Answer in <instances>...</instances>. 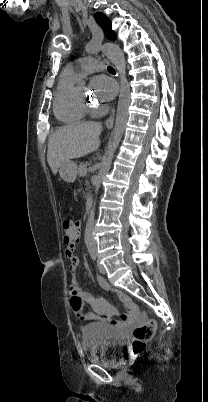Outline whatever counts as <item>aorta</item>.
I'll use <instances>...</instances> for the list:
<instances>
[{
	"instance_id": "aorta-1",
	"label": "aorta",
	"mask_w": 208,
	"mask_h": 402,
	"mask_svg": "<svg viewBox=\"0 0 208 402\" xmlns=\"http://www.w3.org/2000/svg\"><path fill=\"white\" fill-rule=\"evenodd\" d=\"M103 54H105L106 58L114 64L117 74H119L120 78V92H119V102L117 108V116L115 122V128L113 132V140L106 152V158L104 162V168L100 170L99 173L95 175L93 192L96 196H99L102 192V176L107 173V170L111 166L112 158L114 156L115 150H117L119 146V142L124 134V130L127 124L128 118V108L130 106V88L128 84V80L126 78V64L123 52H121V48L117 46V44H105L103 48ZM95 204H93V208L87 218L86 226H85V235L83 242L88 249L89 255L91 258H98L100 255L99 249L97 247L96 242L94 241L95 235L94 231L96 229L95 226Z\"/></svg>"
}]
</instances>
